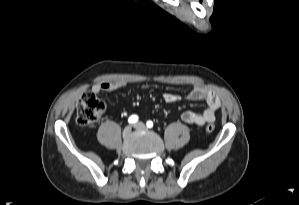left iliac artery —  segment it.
I'll list each match as a JSON object with an SVG mask.
<instances>
[{"mask_svg": "<svg viewBox=\"0 0 299 205\" xmlns=\"http://www.w3.org/2000/svg\"><path fill=\"white\" fill-rule=\"evenodd\" d=\"M146 125H147L148 128H152L153 127V122L149 120V121H147Z\"/></svg>", "mask_w": 299, "mask_h": 205, "instance_id": "obj_1", "label": "left iliac artery"}]
</instances>
